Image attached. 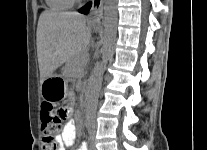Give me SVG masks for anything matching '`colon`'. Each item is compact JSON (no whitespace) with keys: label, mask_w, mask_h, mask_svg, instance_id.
<instances>
[{"label":"colon","mask_w":207,"mask_h":150,"mask_svg":"<svg viewBox=\"0 0 207 150\" xmlns=\"http://www.w3.org/2000/svg\"><path fill=\"white\" fill-rule=\"evenodd\" d=\"M69 116V108L65 105H54L46 102L41 110V128L43 132L44 150H58L55 137L61 130L63 122Z\"/></svg>","instance_id":"5ec220e1"}]
</instances>
